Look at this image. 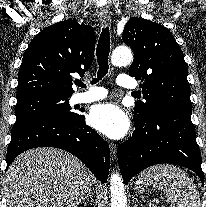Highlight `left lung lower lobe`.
I'll list each match as a JSON object with an SVG mask.
<instances>
[{
  "mask_svg": "<svg viewBox=\"0 0 206 207\" xmlns=\"http://www.w3.org/2000/svg\"><path fill=\"white\" fill-rule=\"evenodd\" d=\"M191 113L157 107L146 122L134 121L133 137L118 147V161L125 184L149 166L170 163L194 171L204 185Z\"/></svg>",
  "mask_w": 206,
  "mask_h": 207,
  "instance_id": "1",
  "label": "left lung lower lobe"
}]
</instances>
